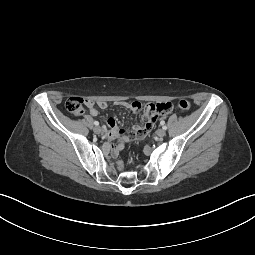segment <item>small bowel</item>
<instances>
[{
    "mask_svg": "<svg viewBox=\"0 0 255 255\" xmlns=\"http://www.w3.org/2000/svg\"><path fill=\"white\" fill-rule=\"evenodd\" d=\"M118 105L124 106L131 111H136L142 108V104L140 102H118ZM90 115L96 116L98 114L99 108H106L107 103L104 101H100L98 103H94L93 101L88 102ZM176 107V104L173 100L168 99L162 103H149L144 106L145 108V118L144 123L140 127H135L133 129H119L117 126L116 119L114 117H110L107 119V126L105 129V136L109 140L118 139L119 142L113 145L114 153L119 152L123 146L124 142H129L134 139L142 140L144 139L150 130L154 126L155 120H158L165 114H171Z\"/></svg>",
    "mask_w": 255,
    "mask_h": 255,
    "instance_id": "1",
    "label": "small bowel"
}]
</instances>
